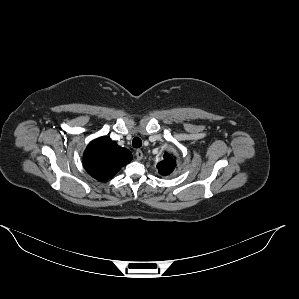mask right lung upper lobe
<instances>
[{
  "label": "right lung upper lobe",
  "mask_w": 299,
  "mask_h": 299,
  "mask_svg": "<svg viewBox=\"0 0 299 299\" xmlns=\"http://www.w3.org/2000/svg\"><path fill=\"white\" fill-rule=\"evenodd\" d=\"M131 160L132 154L128 149L104 136L89 143L83 155V166L92 177L105 181Z\"/></svg>",
  "instance_id": "right-lung-upper-lobe-1"
}]
</instances>
